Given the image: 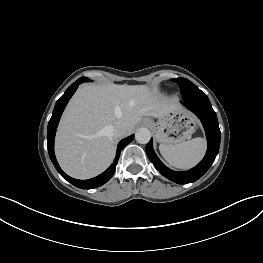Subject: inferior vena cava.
<instances>
[{
    "label": "inferior vena cava",
    "instance_id": "inferior-vena-cava-1",
    "mask_svg": "<svg viewBox=\"0 0 263 263\" xmlns=\"http://www.w3.org/2000/svg\"><path fill=\"white\" fill-rule=\"evenodd\" d=\"M113 136L123 137L126 134V125L123 122H117L115 125L110 127Z\"/></svg>",
    "mask_w": 263,
    "mask_h": 263
}]
</instances>
